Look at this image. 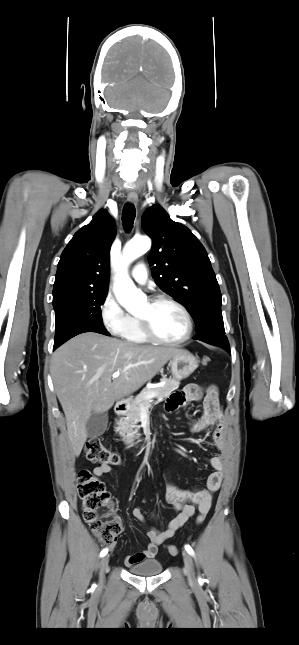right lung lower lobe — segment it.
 <instances>
[{"label": "right lung lower lobe", "instance_id": "obj_1", "mask_svg": "<svg viewBox=\"0 0 299 645\" xmlns=\"http://www.w3.org/2000/svg\"><path fill=\"white\" fill-rule=\"evenodd\" d=\"M84 332H95V331H91V330H84V331H80V332H78V333H76V334H74V335L70 336L68 339H70V338H72V337H74V336H76V335H78V334L84 333ZM97 333L104 334V335H109V333H108V332H97ZM60 345H61V344H60ZM58 346H59V345H54V349H55V348H57Z\"/></svg>", "mask_w": 299, "mask_h": 645}]
</instances>
